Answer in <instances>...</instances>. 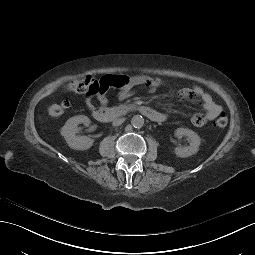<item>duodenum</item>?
Segmentation results:
<instances>
[{
	"instance_id": "1",
	"label": "duodenum",
	"mask_w": 255,
	"mask_h": 255,
	"mask_svg": "<svg viewBox=\"0 0 255 255\" xmlns=\"http://www.w3.org/2000/svg\"><path fill=\"white\" fill-rule=\"evenodd\" d=\"M93 117L100 122H111L116 118L123 116L128 112L138 111L148 119L154 122H163L166 116L153 108L146 106H129V107H93L91 109Z\"/></svg>"
}]
</instances>
